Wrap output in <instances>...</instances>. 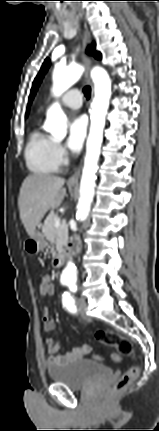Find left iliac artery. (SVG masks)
I'll list each match as a JSON object with an SVG mask.
<instances>
[{"label": "left iliac artery", "mask_w": 159, "mask_h": 431, "mask_svg": "<svg viewBox=\"0 0 159 431\" xmlns=\"http://www.w3.org/2000/svg\"><path fill=\"white\" fill-rule=\"evenodd\" d=\"M73 291H76V287ZM63 306L71 313H76L75 299L70 293H65L62 298Z\"/></svg>", "instance_id": "1"}]
</instances>
